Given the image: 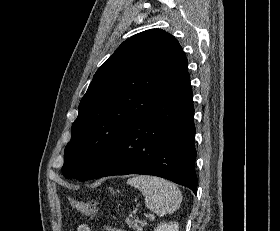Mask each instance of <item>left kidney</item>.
<instances>
[{"label": "left kidney", "instance_id": "5707ae66", "mask_svg": "<svg viewBox=\"0 0 280 231\" xmlns=\"http://www.w3.org/2000/svg\"><path fill=\"white\" fill-rule=\"evenodd\" d=\"M154 231H179L178 221H169V223H160Z\"/></svg>", "mask_w": 280, "mask_h": 231}]
</instances>
